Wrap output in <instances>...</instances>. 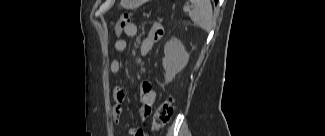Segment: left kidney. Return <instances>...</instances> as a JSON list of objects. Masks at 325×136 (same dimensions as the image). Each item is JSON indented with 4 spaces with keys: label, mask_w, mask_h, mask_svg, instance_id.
<instances>
[{
    "label": "left kidney",
    "mask_w": 325,
    "mask_h": 136,
    "mask_svg": "<svg viewBox=\"0 0 325 136\" xmlns=\"http://www.w3.org/2000/svg\"><path fill=\"white\" fill-rule=\"evenodd\" d=\"M164 54L162 64L165 70V82L168 84L185 68L190 55L177 38H172L165 44Z\"/></svg>",
    "instance_id": "1"
}]
</instances>
